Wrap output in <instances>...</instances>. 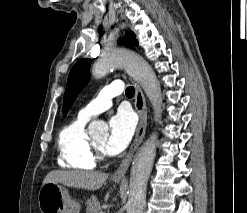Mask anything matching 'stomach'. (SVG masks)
Returning a JSON list of instances; mask_svg holds the SVG:
<instances>
[{
  "label": "stomach",
  "mask_w": 247,
  "mask_h": 213,
  "mask_svg": "<svg viewBox=\"0 0 247 213\" xmlns=\"http://www.w3.org/2000/svg\"><path fill=\"white\" fill-rule=\"evenodd\" d=\"M38 205L41 213H79L81 209L79 202L71 199L66 187L54 182L42 185Z\"/></svg>",
  "instance_id": "0dacf381"
}]
</instances>
